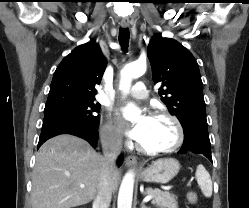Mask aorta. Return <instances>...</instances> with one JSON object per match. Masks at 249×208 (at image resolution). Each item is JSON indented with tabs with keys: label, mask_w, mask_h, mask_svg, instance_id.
<instances>
[{
	"label": "aorta",
	"mask_w": 249,
	"mask_h": 208,
	"mask_svg": "<svg viewBox=\"0 0 249 208\" xmlns=\"http://www.w3.org/2000/svg\"><path fill=\"white\" fill-rule=\"evenodd\" d=\"M146 71V62L136 61L124 67L121 71L120 89L127 92L130 88L131 81L134 78L142 76ZM140 110L134 105L126 108L125 117L133 120L138 118ZM134 187V173L129 171L123 177L118 193L117 208H131Z\"/></svg>",
	"instance_id": "obj_1"
}]
</instances>
